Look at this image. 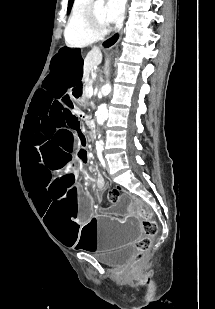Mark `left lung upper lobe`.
<instances>
[{"label": "left lung upper lobe", "instance_id": "5c2ea615", "mask_svg": "<svg viewBox=\"0 0 215 309\" xmlns=\"http://www.w3.org/2000/svg\"><path fill=\"white\" fill-rule=\"evenodd\" d=\"M72 3H73V0H69V4H68V11H69V9H70V7H71Z\"/></svg>", "mask_w": 215, "mask_h": 309}]
</instances>
